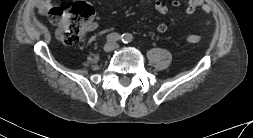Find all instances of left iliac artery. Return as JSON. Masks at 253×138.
<instances>
[{
	"label": "left iliac artery",
	"instance_id": "obj_1",
	"mask_svg": "<svg viewBox=\"0 0 253 138\" xmlns=\"http://www.w3.org/2000/svg\"><path fill=\"white\" fill-rule=\"evenodd\" d=\"M132 40V36L130 34H123L122 35V41L127 44L129 42H131Z\"/></svg>",
	"mask_w": 253,
	"mask_h": 138
}]
</instances>
